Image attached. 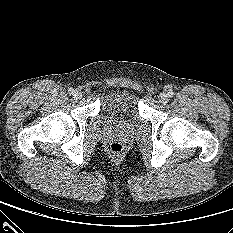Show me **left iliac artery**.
I'll return each mask as SVG.
<instances>
[{
  "label": "left iliac artery",
  "instance_id": "44dca946",
  "mask_svg": "<svg viewBox=\"0 0 233 233\" xmlns=\"http://www.w3.org/2000/svg\"><path fill=\"white\" fill-rule=\"evenodd\" d=\"M168 96H169V97H173V96H174V92H173V91H169V92H168Z\"/></svg>",
  "mask_w": 233,
  "mask_h": 233
}]
</instances>
